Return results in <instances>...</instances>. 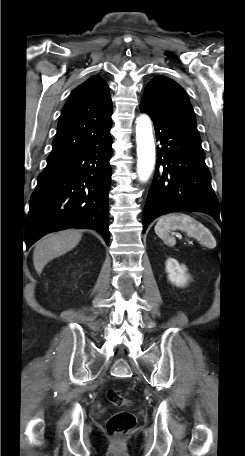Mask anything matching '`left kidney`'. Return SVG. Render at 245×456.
Here are the masks:
<instances>
[{"label": "left kidney", "mask_w": 245, "mask_h": 456, "mask_svg": "<svg viewBox=\"0 0 245 456\" xmlns=\"http://www.w3.org/2000/svg\"><path fill=\"white\" fill-rule=\"evenodd\" d=\"M185 265H180L174 258H169L166 262V271L171 283L178 287H184L188 281Z\"/></svg>", "instance_id": "5707ae66"}]
</instances>
